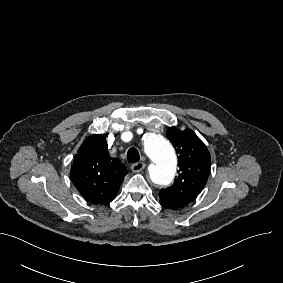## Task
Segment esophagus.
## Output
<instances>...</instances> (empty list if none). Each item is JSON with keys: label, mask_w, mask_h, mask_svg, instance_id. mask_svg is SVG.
I'll return each instance as SVG.
<instances>
[{"label": "esophagus", "mask_w": 283, "mask_h": 283, "mask_svg": "<svg viewBox=\"0 0 283 283\" xmlns=\"http://www.w3.org/2000/svg\"><path fill=\"white\" fill-rule=\"evenodd\" d=\"M146 167V164L144 162H137L131 165V170L133 172H140Z\"/></svg>", "instance_id": "34e87169"}]
</instances>
